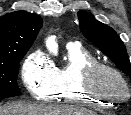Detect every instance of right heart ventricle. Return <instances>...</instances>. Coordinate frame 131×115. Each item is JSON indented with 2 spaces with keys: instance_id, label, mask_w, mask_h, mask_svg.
<instances>
[{
  "instance_id": "1",
  "label": "right heart ventricle",
  "mask_w": 131,
  "mask_h": 115,
  "mask_svg": "<svg viewBox=\"0 0 131 115\" xmlns=\"http://www.w3.org/2000/svg\"><path fill=\"white\" fill-rule=\"evenodd\" d=\"M66 59V64L62 68L56 69L58 86L51 99L94 107H103L111 103L90 96L80 89L82 69L97 62L96 57L90 51L77 45H69L66 48Z\"/></svg>"
}]
</instances>
